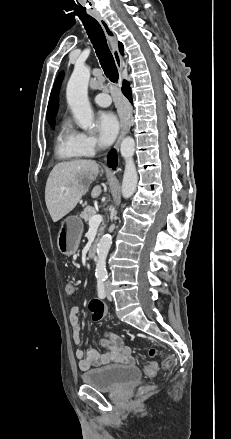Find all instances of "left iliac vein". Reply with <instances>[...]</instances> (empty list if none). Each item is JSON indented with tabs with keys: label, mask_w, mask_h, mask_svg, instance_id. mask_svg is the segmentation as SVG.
Segmentation results:
<instances>
[{
	"label": "left iliac vein",
	"mask_w": 231,
	"mask_h": 439,
	"mask_svg": "<svg viewBox=\"0 0 231 439\" xmlns=\"http://www.w3.org/2000/svg\"><path fill=\"white\" fill-rule=\"evenodd\" d=\"M105 292H106V297H107V299L112 300L113 297H112V295H111V292H110V285H109L108 282L105 284Z\"/></svg>",
	"instance_id": "left-iliac-vein-1"
}]
</instances>
